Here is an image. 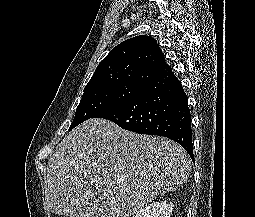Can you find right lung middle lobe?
I'll return each instance as SVG.
<instances>
[{
	"instance_id": "obj_1",
	"label": "right lung middle lobe",
	"mask_w": 255,
	"mask_h": 217,
	"mask_svg": "<svg viewBox=\"0 0 255 217\" xmlns=\"http://www.w3.org/2000/svg\"><path fill=\"white\" fill-rule=\"evenodd\" d=\"M145 87L136 84H115L84 91L70 130L87 119L126 103L140 94Z\"/></svg>"
}]
</instances>
